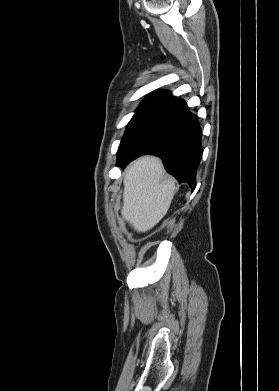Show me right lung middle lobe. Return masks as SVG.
Instances as JSON below:
<instances>
[{
  "label": "right lung middle lobe",
  "mask_w": 279,
  "mask_h": 391,
  "mask_svg": "<svg viewBox=\"0 0 279 391\" xmlns=\"http://www.w3.org/2000/svg\"><path fill=\"white\" fill-rule=\"evenodd\" d=\"M161 111L162 110L159 109H137L127 125L119 148L127 145L139 136L154 121Z\"/></svg>",
  "instance_id": "dd1d6c3e"
}]
</instances>
